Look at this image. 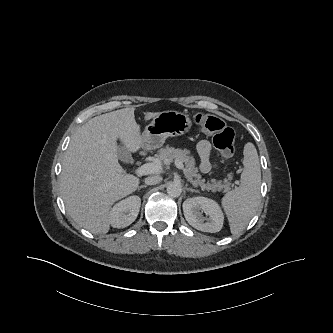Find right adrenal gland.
<instances>
[{"label": "right adrenal gland", "instance_id": "right-adrenal-gland-1", "mask_svg": "<svg viewBox=\"0 0 333 333\" xmlns=\"http://www.w3.org/2000/svg\"><path fill=\"white\" fill-rule=\"evenodd\" d=\"M146 187H147V185H141V186L138 187V190H140L142 188H146Z\"/></svg>", "mask_w": 333, "mask_h": 333}]
</instances>
